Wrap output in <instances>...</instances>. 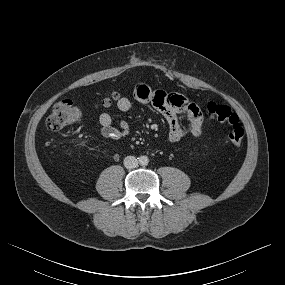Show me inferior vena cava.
I'll list each match as a JSON object with an SVG mask.
<instances>
[{"mask_svg":"<svg viewBox=\"0 0 285 285\" xmlns=\"http://www.w3.org/2000/svg\"><path fill=\"white\" fill-rule=\"evenodd\" d=\"M124 166L127 169H134L138 166V160L134 156H127L124 159Z\"/></svg>","mask_w":285,"mask_h":285,"instance_id":"602c4592","label":"inferior vena cava"}]
</instances>
